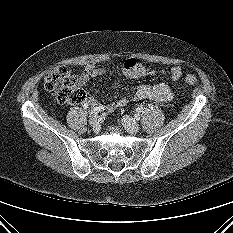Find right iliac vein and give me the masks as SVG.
<instances>
[{"label": "right iliac vein", "instance_id": "1", "mask_svg": "<svg viewBox=\"0 0 233 233\" xmlns=\"http://www.w3.org/2000/svg\"><path fill=\"white\" fill-rule=\"evenodd\" d=\"M89 124L92 128L97 129L100 125V120H99V116H93L90 120H89Z\"/></svg>", "mask_w": 233, "mask_h": 233}]
</instances>
